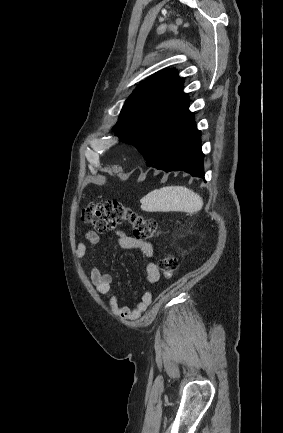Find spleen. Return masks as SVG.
Here are the masks:
<instances>
[{"instance_id":"3e777b00","label":"spleen","mask_w":283,"mask_h":433,"mask_svg":"<svg viewBox=\"0 0 283 433\" xmlns=\"http://www.w3.org/2000/svg\"><path fill=\"white\" fill-rule=\"evenodd\" d=\"M142 210L148 212H169V210H182V212H196L201 210L203 200L197 192L186 186H163L151 190L140 200Z\"/></svg>"}]
</instances>
